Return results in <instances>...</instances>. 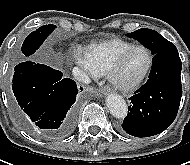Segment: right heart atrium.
<instances>
[{
	"label": "right heart atrium",
	"mask_w": 190,
	"mask_h": 165,
	"mask_svg": "<svg viewBox=\"0 0 190 165\" xmlns=\"http://www.w3.org/2000/svg\"><path fill=\"white\" fill-rule=\"evenodd\" d=\"M75 60L79 66H81L83 69H85L89 73L93 74L89 67L85 52H82L80 50L77 51L75 54Z\"/></svg>",
	"instance_id": "obj_1"
}]
</instances>
